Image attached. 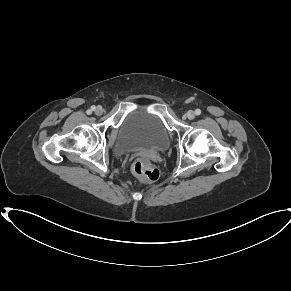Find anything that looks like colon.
Segmentation results:
<instances>
[{
	"label": "colon",
	"instance_id": "colon-1",
	"mask_svg": "<svg viewBox=\"0 0 291 291\" xmlns=\"http://www.w3.org/2000/svg\"><path fill=\"white\" fill-rule=\"evenodd\" d=\"M133 172L146 182L156 181L159 177V171L153 165L144 160H136L132 166Z\"/></svg>",
	"mask_w": 291,
	"mask_h": 291
}]
</instances>
